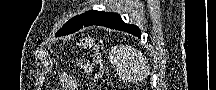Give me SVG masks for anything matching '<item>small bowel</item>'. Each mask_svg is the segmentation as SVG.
I'll use <instances>...</instances> for the list:
<instances>
[{
  "label": "small bowel",
  "mask_w": 216,
  "mask_h": 90,
  "mask_svg": "<svg viewBox=\"0 0 216 90\" xmlns=\"http://www.w3.org/2000/svg\"><path fill=\"white\" fill-rule=\"evenodd\" d=\"M87 72H91V68L85 69ZM61 84L63 90H77L75 79L68 73H64L61 75Z\"/></svg>",
  "instance_id": "small-bowel-1"
}]
</instances>
